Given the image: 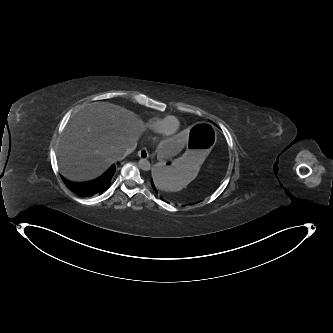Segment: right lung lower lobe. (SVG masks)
I'll return each instance as SVG.
<instances>
[{
    "label": "right lung lower lobe",
    "instance_id": "1",
    "mask_svg": "<svg viewBox=\"0 0 333 333\" xmlns=\"http://www.w3.org/2000/svg\"><path fill=\"white\" fill-rule=\"evenodd\" d=\"M115 170V165H112L111 168L102 176L89 182L74 183L66 179H63V181L65 185L76 195L81 197H89L95 194H102L109 188Z\"/></svg>",
    "mask_w": 333,
    "mask_h": 333
}]
</instances>
